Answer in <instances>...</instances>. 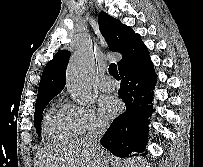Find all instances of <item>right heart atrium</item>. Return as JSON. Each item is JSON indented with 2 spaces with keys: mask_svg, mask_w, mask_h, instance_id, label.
<instances>
[{
  "mask_svg": "<svg viewBox=\"0 0 203 167\" xmlns=\"http://www.w3.org/2000/svg\"><path fill=\"white\" fill-rule=\"evenodd\" d=\"M67 113L76 135L100 131L107 127V122L91 105H68Z\"/></svg>",
  "mask_w": 203,
  "mask_h": 167,
  "instance_id": "1",
  "label": "right heart atrium"
}]
</instances>
